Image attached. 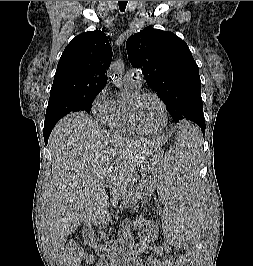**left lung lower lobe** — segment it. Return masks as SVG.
<instances>
[{
  "mask_svg": "<svg viewBox=\"0 0 253 266\" xmlns=\"http://www.w3.org/2000/svg\"><path fill=\"white\" fill-rule=\"evenodd\" d=\"M200 127L202 128V131H205V124H201Z\"/></svg>",
  "mask_w": 253,
  "mask_h": 266,
  "instance_id": "0a47b994",
  "label": "left lung lower lobe"
}]
</instances>
